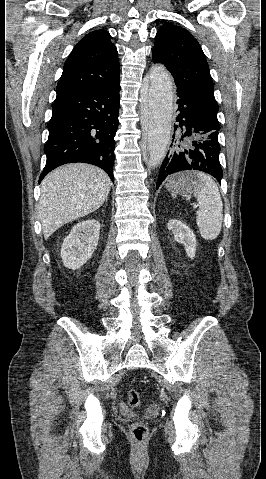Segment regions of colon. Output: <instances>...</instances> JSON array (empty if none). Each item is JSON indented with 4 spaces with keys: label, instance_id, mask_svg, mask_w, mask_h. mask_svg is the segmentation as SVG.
<instances>
[{
    "label": "colon",
    "instance_id": "5ec220e1",
    "mask_svg": "<svg viewBox=\"0 0 266 479\" xmlns=\"http://www.w3.org/2000/svg\"><path fill=\"white\" fill-rule=\"evenodd\" d=\"M127 403L130 407L136 408L141 404V396L136 390H130L127 394ZM131 437L136 444H142L148 434L147 426L141 422L137 421L131 426Z\"/></svg>",
    "mask_w": 266,
    "mask_h": 479
}]
</instances>
